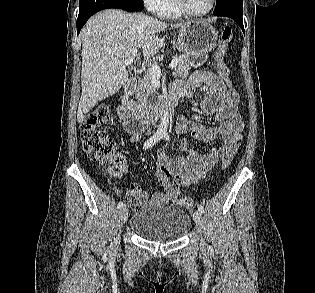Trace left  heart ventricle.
Masks as SVG:
<instances>
[{"label": "left heart ventricle", "mask_w": 315, "mask_h": 293, "mask_svg": "<svg viewBox=\"0 0 315 293\" xmlns=\"http://www.w3.org/2000/svg\"><path fill=\"white\" fill-rule=\"evenodd\" d=\"M188 8L193 12H203L209 5L210 0H186Z\"/></svg>", "instance_id": "obj_1"}]
</instances>
